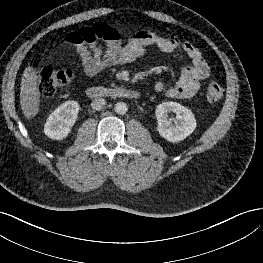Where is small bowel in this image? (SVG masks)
<instances>
[{"instance_id": "1", "label": "small bowel", "mask_w": 263, "mask_h": 263, "mask_svg": "<svg viewBox=\"0 0 263 263\" xmlns=\"http://www.w3.org/2000/svg\"><path fill=\"white\" fill-rule=\"evenodd\" d=\"M65 40L76 49L81 71L89 77L107 67L133 62L142 57L151 46L166 53L183 50L191 65L182 70L177 82L168 86L165 80H159L154 85L156 92L169 98L193 97L200 88V82L210 73L209 64L200 50L190 41L178 36L162 37L151 31H138L124 38L118 28L98 22L68 33Z\"/></svg>"}]
</instances>
